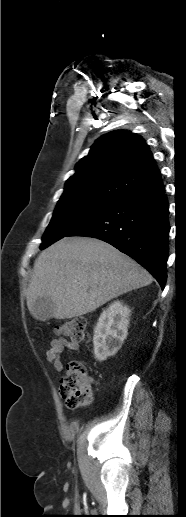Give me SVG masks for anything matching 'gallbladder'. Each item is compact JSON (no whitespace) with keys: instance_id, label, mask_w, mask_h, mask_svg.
I'll use <instances>...</instances> for the list:
<instances>
[{"instance_id":"obj_1","label":"gallbladder","mask_w":186,"mask_h":517,"mask_svg":"<svg viewBox=\"0 0 186 517\" xmlns=\"http://www.w3.org/2000/svg\"><path fill=\"white\" fill-rule=\"evenodd\" d=\"M53 307L54 304L49 298H38L32 305L31 314L37 319L46 320L50 318Z\"/></svg>"}]
</instances>
